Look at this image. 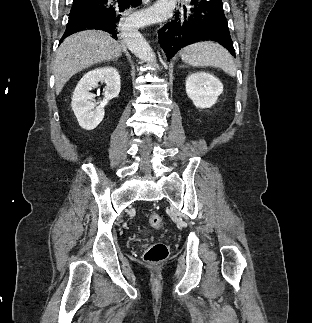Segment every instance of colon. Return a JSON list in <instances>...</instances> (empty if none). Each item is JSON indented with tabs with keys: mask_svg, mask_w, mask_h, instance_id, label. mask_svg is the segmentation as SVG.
I'll use <instances>...</instances> for the list:
<instances>
[{
	"mask_svg": "<svg viewBox=\"0 0 312 323\" xmlns=\"http://www.w3.org/2000/svg\"><path fill=\"white\" fill-rule=\"evenodd\" d=\"M148 221L150 225L155 229H161L163 227L162 217L156 213L152 212L148 215ZM168 257V248L163 243L152 244L143 255V259L149 264H160L165 261Z\"/></svg>",
	"mask_w": 312,
	"mask_h": 323,
	"instance_id": "1",
	"label": "colon"
}]
</instances>
